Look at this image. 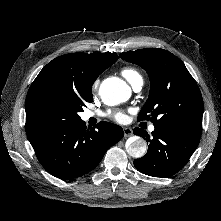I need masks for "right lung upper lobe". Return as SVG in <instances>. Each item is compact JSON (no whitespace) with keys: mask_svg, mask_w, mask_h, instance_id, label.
<instances>
[{"mask_svg":"<svg viewBox=\"0 0 221 221\" xmlns=\"http://www.w3.org/2000/svg\"><path fill=\"white\" fill-rule=\"evenodd\" d=\"M118 59L115 53H70L49 62L31 84L26 102V129L34 127L30 119V103L42 88L54 86L77 94L92 91L91 87L99 74Z\"/></svg>","mask_w":221,"mask_h":221,"instance_id":"1","label":"right lung upper lobe"}]
</instances>
